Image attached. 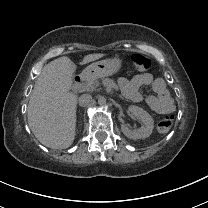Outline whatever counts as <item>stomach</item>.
I'll use <instances>...</instances> for the list:
<instances>
[{
  "instance_id": "0dacf381",
  "label": "stomach",
  "mask_w": 208,
  "mask_h": 208,
  "mask_svg": "<svg viewBox=\"0 0 208 208\" xmlns=\"http://www.w3.org/2000/svg\"><path fill=\"white\" fill-rule=\"evenodd\" d=\"M122 60L119 57L105 59L88 65L81 76L89 79H98L111 76L119 71Z\"/></svg>"
}]
</instances>
